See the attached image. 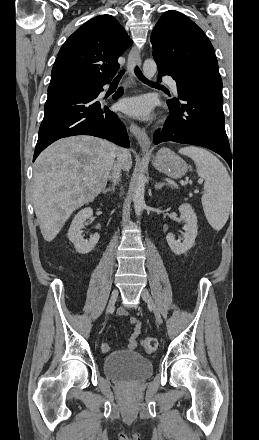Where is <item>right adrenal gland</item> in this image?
Here are the masks:
<instances>
[{"label": "right adrenal gland", "mask_w": 259, "mask_h": 440, "mask_svg": "<svg viewBox=\"0 0 259 440\" xmlns=\"http://www.w3.org/2000/svg\"><path fill=\"white\" fill-rule=\"evenodd\" d=\"M114 189H115V184H113L112 186H110V187H107L106 189H104V193H107V192H113L114 191Z\"/></svg>", "instance_id": "1"}]
</instances>
